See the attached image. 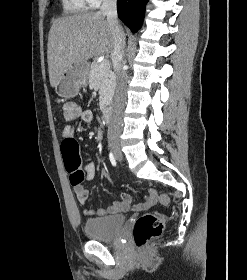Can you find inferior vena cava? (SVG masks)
<instances>
[{
  "label": "inferior vena cava",
  "instance_id": "inferior-vena-cava-1",
  "mask_svg": "<svg viewBox=\"0 0 247 280\" xmlns=\"http://www.w3.org/2000/svg\"><path fill=\"white\" fill-rule=\"evenodd\" d=\"M117 0H103L100 13L107 17V21L114 36V47L111 52L113 69L116 77V90L113 103V112L108 128V141L115 143L119 141L121 134L122 118L121 114L126 99L127 73L124 69V50L126 46L125 34L117 19Z\"/></svg>",
  "mask_w": 247,
  "mask_h": 280
}]
</instances>
